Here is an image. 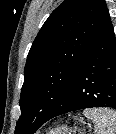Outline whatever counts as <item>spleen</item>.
<instances>
[{
	"label": "spleen",
	"mask_w": 116,
	"mask_h": 134,
	"mask_svg": "<svg viewBox=\"0 0 116 134\" xmlns=\"http://www.w3.org/2000/svg\"><path fill=\"white\" fill-rule=\"evenodd\" d=\"M84 115L94 123L95 134H116V111L94 108L85 110Z\"/></svg>",
	"instance_id": "3e777b00"
}]
</instances>
